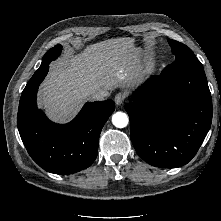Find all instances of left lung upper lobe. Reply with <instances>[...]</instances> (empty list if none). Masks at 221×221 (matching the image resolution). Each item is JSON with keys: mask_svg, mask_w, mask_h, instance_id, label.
<instances>
[{"mask_svg": "<svg viewBox=\"0 0 221 221\" xmlns=\"http://www.w3.org/2000/svg\"><path fill=\"white\" fill-rule=\"evenodd\" d=\"M168 43L172 48V53L175 56V61L184 58L195 57L192 50L186 45L171 39L168 40Z\"/></svg>", "mask_w": 221, "mask_h": 221, "instance_id": "1", "label": "left lung upper lobe"}]
</instances>
